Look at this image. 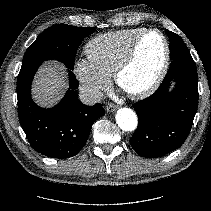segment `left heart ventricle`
<instances>
[{
  "label": "left heart ventricle",
  "instance_id": "left-heart-ventricle-1",
  "mask_svg": "<svg viewBox=\"0 0 211 211\" xmlns=\"http://www.w3.org/2000/svg\"><path fill=\"white\" fill-rule=\"evenodd\" d=\"M163 57L161 37L157 33L147 34L140 44L134 63L121 77L122 89L135 92L148 86L159 72Z\"/></svg>",
  "mask_w": 211,
  "mask_h": 211
}]
</instances>
